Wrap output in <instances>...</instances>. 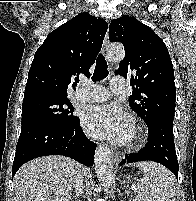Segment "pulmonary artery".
I'll use <instances>...</instances> for the list:
<instances>
[{
  "label": "pulmonary artery",
  "mask_w": 196,
  "mask_h": 201,
  "mask_svg": "<svg viewBox=\"0 0 196 201\" xmlns=\"http://www.w3.org/2000/svg\"><path fill=\"white\" fill-rule=\"evenodd\" d=\"M124 89L125 80L122 78H113L110 81V90L105 87L83 82L81 87L75 92L74 100L78 102L105 101L111 96V93H120Z\"/></svg>",
  "instance_id": "1"
}]
</instances>
